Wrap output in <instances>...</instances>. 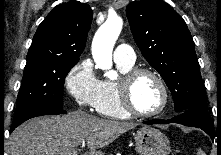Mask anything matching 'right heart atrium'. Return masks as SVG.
Listing matches in <instances>:
<instances>
[{
	"instance_id": "1",
	"label": "right heart atrium",
	"mask_w": 221,
	"mask_h": 155,
	"mask_svg": "<svg viewBox=\"0 0 221 155\" xmlns=\"http://www.w3.org/2000/svg\"><path fill=\"white\" fill-rule=\"evenodd\" d=\"M64 86L77 105L94 108L99 95L100 80L92 61L84 59L75 64L66 74Z\"/></svg>"
}]
</instances>
